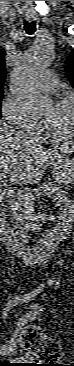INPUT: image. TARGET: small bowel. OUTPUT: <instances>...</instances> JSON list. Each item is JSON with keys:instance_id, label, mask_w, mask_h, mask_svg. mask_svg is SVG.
<instances>
[{"instance_id": "obj_1", "label": "small bowel", "mask_w": 74, "mask_h": 366, "mask_svg": "<svg viewBox=\"0 0 74 366\" xmlns=\"http://www.w3.org/2000/svg\"><path fill=\"white\" fill-rule=\"evenodd\" d=\"M31 260V259H30ZM29 260V261H30ZM53 282V280L52 279H48L47 281H46V283L47 284H51ZM42 310H43V308L41 307V306H39V305H34L33 306V310H32V312L30 313V316H36V315H39L41 312H42ZM25 324H26V322L25 321H23V322H21L20 323V325L21 326H25ZM14 347H15V342L13 341V342H11L10 343V345H8V346H3L2 348H1V353H2V355H11L12 353H13V351H14Z\"/></svg>"}]
</instances>
